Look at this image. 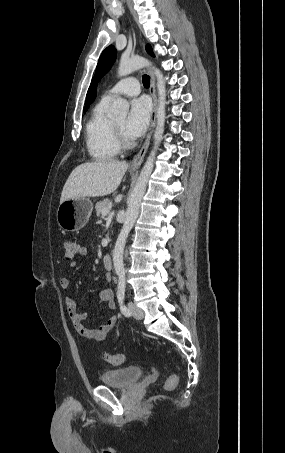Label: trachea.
I'll return each instance as SVG.
<instances>
[{"instance_id": "trachea-1", "label": "trachea", "mask_w": 285, "mask_h": 453, "mask_svg": "<svg viewBox=\"0 0 285 453\" xmlns=\"http://www.w3.org/2000/svg\"><path fill=\"white\" fill-rule=\"evenodd\" d=\"M142 83L145 87H149L150 86V77L148 75H143Z\"/></svg>"}]
</instances>
